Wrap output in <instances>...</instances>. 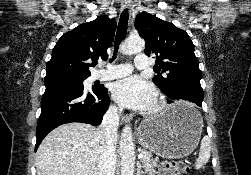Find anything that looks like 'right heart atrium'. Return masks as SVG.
<instances>
[{
  "mask_svg": "<svg viewBox=\"0 0 251 175\" xmlns=\"http://www.w3.org/2000/svg\"><path fill=\"white\" fill-rule=\"evenodd\" d=\"M111 111L114 114H119V112H120V110L117 107H115V106L112 107Z\"/></svg>",
  "mask_w": 251,
  "mask_h": 175,
  "instance_id": "obj_1",
  "label": "right heart atrium"
}]
</instances>
